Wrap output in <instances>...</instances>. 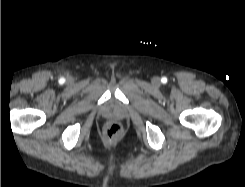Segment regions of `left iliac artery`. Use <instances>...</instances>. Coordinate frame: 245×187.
Returning a JSON list of instances; mask_svg holds the SVG:
<instances>
[{"mask_svg":"<svg viewBox=\"0 0 245 187\" xmlns=\"http://www.w3.org/2000/svg\"><path fill=\"white\" fill-rule=\"evenodd\" d=\"M162 81H163V82H165V81H166V79L164 78V79H162Z\"/></svg>","mask_w":245,"mask_h":187,"instance_id":"left-iliac-artery-1","label":"left iliac artery"}]
</instances>
